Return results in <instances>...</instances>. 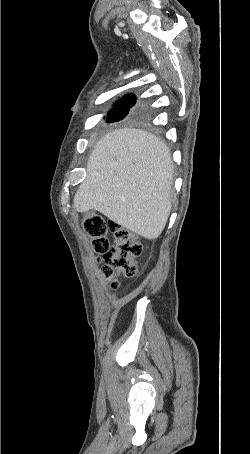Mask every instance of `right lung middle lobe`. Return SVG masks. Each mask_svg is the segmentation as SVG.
Masks as SVG:
<instances>
[{
	"instance_id": "obj_1",
	"label": "right lung middle lobe",
	"mask_w": 250,
	"mask_h": 454,
	"mask_svg": "<svg viewBox=\"0 0 250 454\" xmlns=\"http://www.w3.org/2000/svg\"><path fill=\"white\" fill-rule=\"evenodd\" d=\"M149 117V111L147 105L144 102H137V98L134 95H127L120 100V103L116 104L107 113V123H126L132 121H142Z\"/></svg>"
}]
</instances>
